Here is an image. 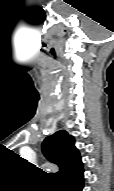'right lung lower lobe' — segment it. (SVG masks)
Masks as SVG:
<instances>
[{
  "mask_svg": "<svg viewBox=\"0 0 114 191\" xmlns=\"http://www.w3.org/2000/svg\"><path fill=\"white\" fill-rule=\"evenodd\" d=\"M84 186L83 168L59 181L60 191H82Z\"/></svg>",
  "mask_w": 114,
  "mask_h": 191,
  "instance_id": "1",
  "label": "right lung lower lobe"
}]
</instances>
